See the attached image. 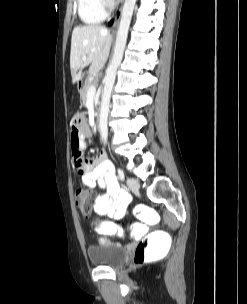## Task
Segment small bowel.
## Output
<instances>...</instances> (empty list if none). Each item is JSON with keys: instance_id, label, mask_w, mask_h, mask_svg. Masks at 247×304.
I'll return each mask as SVG.
<instances>
[{"instance_id": "small-bowel-1", "label": "small bowel", "mask_w": 247, "mask_h": 304, "mask_svg": "<svg viewBox=\"0 0 247 304\" xmlns=\"http://www.w3.org/2000/svg\"><path fill=\"white\" fill-rule=\"evenodd\" d=\"M70 116L71 119H82L83 115L82 112H71ZM70 131L72 159L82 183L90 189L103 190L94 200V211L111 219L122 218L127 212L131 197L120 188L113 165L104 152L93 159H84L82 151L86 148V139L91 132L82 120H71Z\"/></svg>"}]
</instances>
